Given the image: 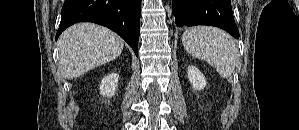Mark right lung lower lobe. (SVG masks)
<instances>
[{
	"label": "right lung lower lobe",
	"mask_w": 299,
	"mask_h": 130,
	"mask_svg": "<svg viewBox=\"0 0 299 130\" xmlns=\"http://www.w3.org/2000/svg\"><path fill=\"white\" fill-rule=\"evenodd\" d=\"M56 40L77 22H93L120 35L138 56L141 0H65Z\"/></svg>",
	"instance_id": "obj_1"
}]
</instances>
